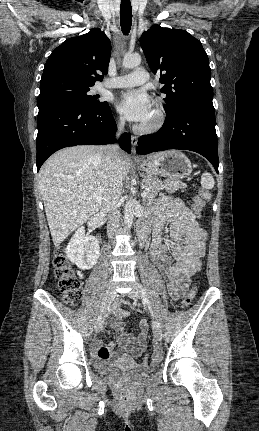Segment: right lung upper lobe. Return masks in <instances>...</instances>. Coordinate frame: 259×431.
<instances>
[{"label":"right lung upper lobe","instance_id":"1","mask_svg":"<svg viewBox=\"0 0 259 431\" xmlns=\"http://www.w3.org/2000/svg\"><path fill=\"white\" fill-rule=\"evenodd\" d=\"M111 54L110 40L99 28L65 40L48 57L40 82L67 81L91 88L108 73ZM102 74V75H101Z\"/></svg>","mask_w":259,"mask_h":431}]
</instances>
